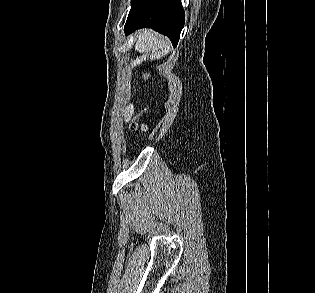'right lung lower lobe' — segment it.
Instances as JSON below:
<instances>
[{"mask_svg": "<svg viewBox=\"0 0 315 293\" xmlns=\"http://www.w3.org/2000/svg\"><path fill=\"white\" fill-rule=\"evenodd\" d=\"M185 23L181 0H132L124 31L152 28L169 37L174 46Z\"/></svg>", "mask_w": 315, "mask_h": 293, "instance_id": "98d812e1", "label": "right lung lower lobe"}]
</instances>
